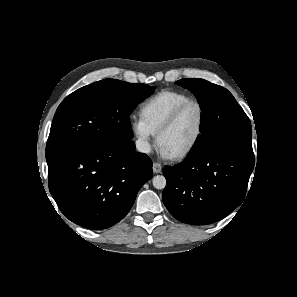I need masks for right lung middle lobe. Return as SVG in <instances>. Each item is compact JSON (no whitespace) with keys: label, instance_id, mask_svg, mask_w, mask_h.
I'll return each mask as SVG.
<instances>
[{"label":"right lung middle lobe","instance_id":"obj_1","mask_svg":"<svg viewBox=\"0 0 297 297\" xmlns=\"http://www.w3.org/2000/svg\"><path fill=\"white\" fill-rule=\"evenodd\" d=\"M154 88L104 79L67 96L57 108L46 145L47 162L70 149L133 138L129 115Z\"/></svg>","mask_w":297,"mask_h":297}]
</instances>
